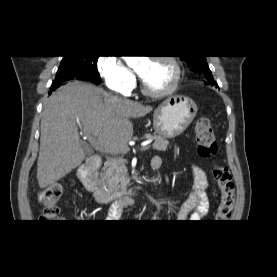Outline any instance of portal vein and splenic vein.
I'll return each mask as SVG.
<instances>
[{"label": "portal vein and splenic vein", "mask_w": 277, "mask_h": 277, "mask_svg": "<svg viewBox=\"0 0 277 277\" xmlns=\"http://www.w3.org/2000/svg\"><path fill=\"white\" fill-rule=\"evenodd\" d=\"M85 136H87L90 144L92 145L93 148H95L98 151H103V152H108L98 141L95 137H93L90 134H85ZM149 143L147 142L145 143L142 147L139 148L140 151H146L149 149Z\"/></svg>", "instance_id": "18ae733b"}]
</instances>
